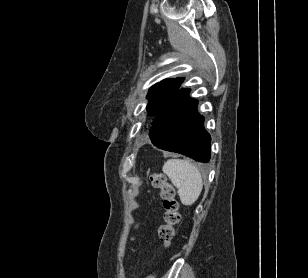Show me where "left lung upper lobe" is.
<instances>
[{
	"instance_id": "5c2ea615",
	"label": "left lung upper lobe",
	"mask_w": 308,
	"mask_h": 278,
	"mask_svg": "<svg viewBox=\"0 0 308 278\" xmlns=\"http://www.w3.org/2000/svg\"><path fill=\"white\" fill-rule=\"evenodd\" d=\"M183 78L164 79L160 83L153 85L148 92L147 111L150 116H156L159 111L172 99L179 91Z\"/></svg>"
}]
</instances>
